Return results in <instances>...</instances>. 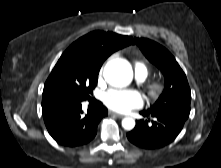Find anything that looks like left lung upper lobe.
<instances>
[{"mask_svg":"<svg viewBox=\"0 0 221 168\" xmlns=\"http://www.w3.org/2000/svg\"><path fill=\"white\" fill-rule=\"evenodd\" d=\"M137 45L145 57L158 67L164 75L165 87L157 101L149 109V113L178 112L189 115L191 92L185 73L173 55L158 43L136 38Z\"/></svg>","mask_w":221,"mask_h":168,"instance_id":"obj_1","label":"left lung upper lobe"}]
</instances>
